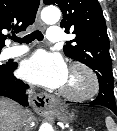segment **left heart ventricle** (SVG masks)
Returning <instances> with one entry per match:
<instances>
[{
  "label": "left heart ventricle",
  "mask_w": 117,
  "mask_h": 131,
  "mask_svg": "<svg viewBox=\"0 0 117 131\" xmlns=\"http://www.w3.org/2000/svg\"><path fill=\"white\" fill-rule=\"evenodd\" d=\"M85 87V78L80 72H68L62 88L70 91H81Z\"/></svg>",
  "instance_id": "b2bd125f"
}]
</instances>
